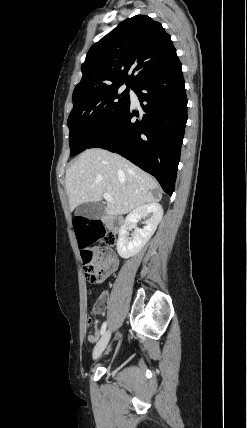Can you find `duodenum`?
Returning a JSON list of instances; mask_svg holds the SVG:
<instances>
[{
    "label": "duodenum",
    "mask_w": 247,
    "mask_h": 428,
    "mask_svg": "<svg viewBox=\"0 0 247 428\" xmlns=\"http://www.w3.org/2000/svg\"><path fill=\"white\" fill-rule=\"evenodd\" d=\"M105 223L110 229L118 232L123 225V219L119 216L111 215L105 218Z\"/></svg>",
    "instance_id": "1"
}]
</instances>
